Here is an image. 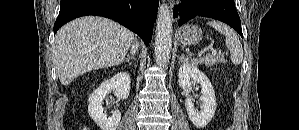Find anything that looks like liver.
Wrapping results in <instances>:
<instances>
[{
	"label": "liver",
	"instance_id": "liver-1",
	"mask_svg": "<svg viewBox=\"0 0 299 130\" xmlns=\"http://www.w3.org/2000/svg\"><path fill=\"white\" fill-rule=\"evenodd\" d=\"M133 40V32L107 18L86 16L67 23L57 32L53 45L61 84L121 63Z\"/></svg>",
	"mask_w": 299,
	"mask_h": 130
}]
</instances>
